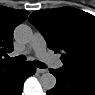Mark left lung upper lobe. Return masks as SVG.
Listing matches in <instances>:
<instances>
[{
	"instance_id": "5c2ea615",
	"label": "left lung upper lobe",
	"mask_w": 95,
	"mask_h": 95,
	"mask_svg": "<svg viewBox=\"0 0 95 95\" xmlns=\"http://www.w3.org/2000/svg\"><path fill=\"white\" fill-rule=\"evenodd\" d=\"M29 22L44 36L48 47L61 51V69L95 77V17L72 7L32 13Z\"/></svg>"
}]
</instances>
